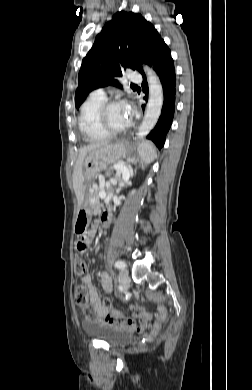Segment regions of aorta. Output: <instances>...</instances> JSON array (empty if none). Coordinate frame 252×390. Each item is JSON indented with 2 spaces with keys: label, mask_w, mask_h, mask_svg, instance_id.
I'll return each instance as SVG.
<instances>
[{
  "label": "aorta",
  "mask_w": 252,
  "mask_h": 390,
  "mask_svg": "<svg viewBox=\"0 0 252 390\" xmlns=\"http://www.w3.org/2000/svg\"><path fill=\"white\" fill-rule=\"evenodd\" d=\"M149 86V99L142 121L136 136L138 139L145 137L156 125L163 105V88L157 74L148 66H144Z\"/></svg>",
  "instance_id": "obj_1"
}]
</instances>
